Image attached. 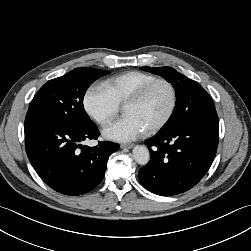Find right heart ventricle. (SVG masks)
<instances>
[{"instance_id":"right-heart-ventricle-1","label":"right heart ventricle","mask_w":251,"mask_h":251,"mask_svg":"<svg viewBox=\"0 0 251 251\" xmlns=\"http://www.w3.org/2000/svg\"><path fill=\"white\" fill-rule=\"evenodd\" d=\"M157 79L153 74L142 71H127L105 82V88L119 105L126 101L145 84Z\"/></svg>"}]
</instances>
